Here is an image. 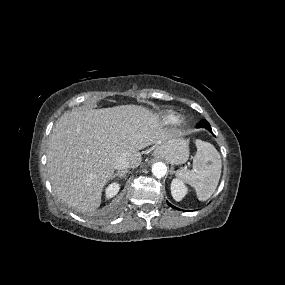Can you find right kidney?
<instances>
[{
    "mask_svg": "<svg viewBox=\"0 0 285 285\" xmlns=\"http://www.w3.org/2000/svg\"><path fill=\"white\" fill-rule=\"evenodd\" d=\"M119 189L120 185L118 183L110 184L105 190L106 198L109 199L114 197L118 193Z\"/></svg>",
    "mask_w": 285,
    "mask_h": 285,
    "instance_id": "ca27d5eb",
    "label": "right kidney"
}]
</instances>
